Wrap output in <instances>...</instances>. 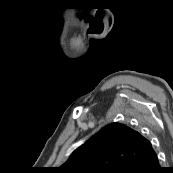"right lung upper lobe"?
<instances>
[{
  "label": "right lung upper lobe",
  "instance_id": "right-lung-upper-lobe-1",
  "mask_svg": "<svg viewBox=\"0 0 173 173\" xmlns=\"http://www.w3.org/2000/svg\"><path fill=\"white\" fill-rule=\"evenodd\" d=\"M154 152L149 140L120 123L106 125L69 159L57 173H123L132 163Z\"/></svg>",
  "mask_w": 173,
  "mask_h": 173
}]
</instances>
